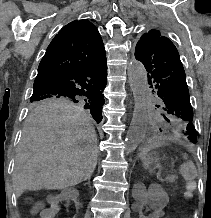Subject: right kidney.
Instances as JSON below:
<instances>
[{
  "label": "right kidney",
  "instance_id": "obj_1",
  "mask_svg": "<svg viewBox=\"0 0 211 218\" xmlns=\"http://www.w3.org/2000/svg\"><path fill=\"white\" fill-rule=\"evenodd\" d=\"M79 196L78 190L75 188H66L61 193H51L50 197H47V202H49V218H63L65 214V209H61L63 202H72Z\"/></svg>",
  "mask_w": 211,
  "mask_h": 218
}]
</instances>
